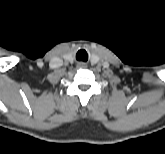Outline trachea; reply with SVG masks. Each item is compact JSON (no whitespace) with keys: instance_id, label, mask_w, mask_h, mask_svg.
Returning <instances> with one entry per match:
<instances>
[{"instance_id":"3493384b","label":"trachea","mask_w":165,"mask_h":154,"mask_svg":"<svg viewBox=\"0 0 165 154\" xmlns=\"http://www.w3.org/2000/svg\"><path fill=\"white\" fill-rule=\"evenodd\" d=\"M77 60L86 61L88 59V55L84 50H80L76 55Z\"/></svg>"}]
</instances>
